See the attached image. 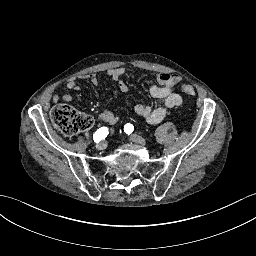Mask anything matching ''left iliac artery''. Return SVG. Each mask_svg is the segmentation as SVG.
<instances>
[{"instance_id": "44dca946", "label": "left iliac artery", "mask_w": 256, "mask_h": 256, "mask_svg": "<svg viewBox=\"0 0 256 256\" xmlns=\"http://www.w3.org/2000/svg\"><path fill=\"white\" fill-rule=\"evenodd\" d=\"M134 130V126L130 123H127L125 126H124V131L127 133V134H130L132 133Z\"/></svg>"}]
</instances>
